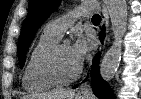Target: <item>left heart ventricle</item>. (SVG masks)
Wrapping results in <instances>:
<instances>
[{"mask_svg": "<svg viewBox=\"0 0 141 99\" xmlns=\"http://www.w3.org/2000/svg\"><path fill=\"white\" fill-rule=\"evenodd\" d=\"M57 68L63 76H70L78 70V65L75 63L71 48L69 45L64 44L57 55Z\"/></svg>", "mask_w": 141, "mask_h": 99, "instance_id": "left-heart-ventricle-1", "label": "left heart ventricle"}]
</instances>
